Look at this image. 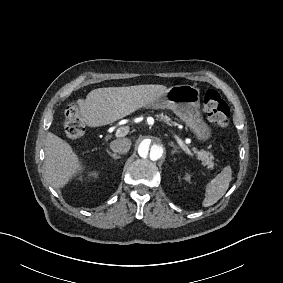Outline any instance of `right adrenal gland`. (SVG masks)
Wrapping results in <instances>:
<instances>
[{
    "instance_id": "2a0ac1e0",
    "label": "right adrenal gland",
    "mask_w": 283,
    "mask_h": 283,
    "mask_svg": "<svg viewBox=\"0 0 283 283\" xmlns=\"http://www.w3.org/2000/svg\"><path fill=\"white\" fill-rule=\"evenodd\" d=\"M107 153L110 155V157H112L114 159V162L116 163V161L120 158L119 155L116 154H112L110 151H107Z\"/></svg>"
}]
</instances>
